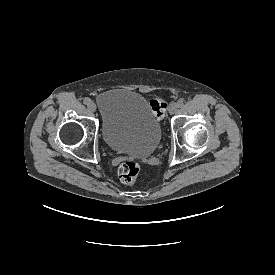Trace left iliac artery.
<instances>
[{"label":"left iliac artery","instance_id":"44dca946","mask_svg":"<svg viewBox=\"0 0 275 275\" xmlns=\"http://www.w3.org/2000/svg\"><path fill=\"white\" fill-rule=\"evenodd\" d=\"M183 104H184V102H183L182 100H180V101L177 102V106H178V107L183 106Z\"/></svg>","mask_w":275,"mask_h":275}]
</instances>
